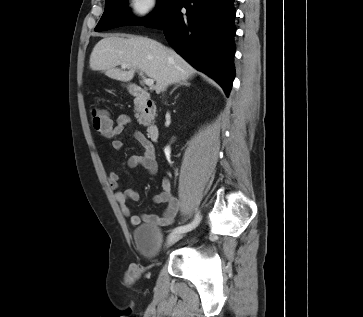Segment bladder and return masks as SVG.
I'll return each mask as SVG.
<instances>
[{
    "label": "bladder",
    "instance_id": "1",
    "mask_svg": "<svg viewBox=\"0 0 363 317\" xmlns=\"http://www.w3.org/2000/svg\"><path fill=\"white\" fill-rule=\"evenodd\" d=\"M135 244L139 252L147 259H154L159 255L162 239L161 230L152 224H141L133 232Z\"/></svg>",
    "mask_w": 363,
    "mask_h": 317
}]
</instances>
